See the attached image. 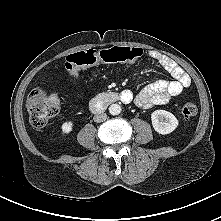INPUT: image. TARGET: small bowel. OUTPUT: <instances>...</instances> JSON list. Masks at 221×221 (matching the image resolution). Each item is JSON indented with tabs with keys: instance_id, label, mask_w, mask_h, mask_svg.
<instances>
[{
	"instance_id": "obj_1",
	"label": "small bowel",
	"mask_w": 221,
	"mask_h": 221,
	"mask_svg": "<svg viewBox=\"0 0 221 221\" xmlns=\"http://www.w3.org/2000/svg\"><path fill=\"white\" fill-rule=\"evenodd\" d=\"M150 57L156 60L173 79L171 81L161 80L154 82L136 95L134 98L135 104L144 109L168 103L178 97L191 84L188 74L171 58L156 52L150 53ZM123 93L130 94L132 99L131 92L125 91Z\"/></svg>"
}]
</instances>
